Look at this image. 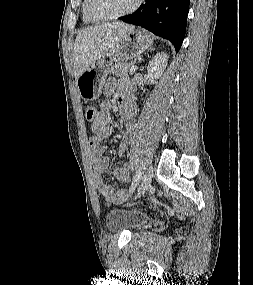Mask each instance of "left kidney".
Segmentation results:
<instances>
[{
    "label": "left kidney",
    "instance_id": "5707ae66",
    "mask_svg": "<svg viewBox=\"0 0 253 285\" xmlns=\"http://www.w3.org/2000/svg\"><path fill=\"white\" fill-rule=\"evenodd\" d=\"M168 62V56L166 53H157L149 62L147 71L151 78L158 79L162 76L164 70L166 69Z\"/></svg>",
    "mask_w": 253,
    "mask_h": 285
}]
</instances>
